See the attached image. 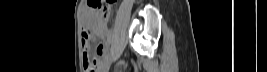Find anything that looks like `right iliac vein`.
<instances>
[{
  "mask_svg": "<svg viewBox=\"0 0 267 72\" xmlns=\"http://www.w3.org/2000/svg\"><path fill=\"white\" fill-rule=\"evenodd\" d=\"M110 60H108L104 65H103V67H102V69H101V72H108V70H109V67H110Z\"/></svg>",
  "mask_w": 267,
  "mask_h": 72,
  "instance_id": "obj_1",
  "label": "right iliac vein"
}]
</instances>
